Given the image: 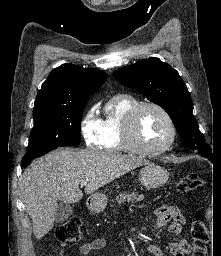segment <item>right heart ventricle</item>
<instances>
[{
	"label": "right heart ventricle",
	"instance_id": "e07e8e85",
	"mask_svg": "<svg viewBox=\"0 0 221 256\" xmlns=\"http://www.w3.org/2000/svg\"><path fill=\"white\" fill-rule=\"evenodd\" d=\"M139 103L131 94L119 93L112 96L104 107L102 119L101 147L110 152H134L124 140L123 129L129 111Z\"/></svg>",
	"mask_w": 221,
	"mask_h": 256
}]
</instances>
